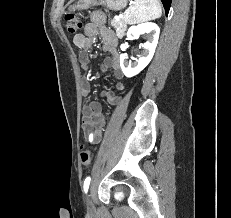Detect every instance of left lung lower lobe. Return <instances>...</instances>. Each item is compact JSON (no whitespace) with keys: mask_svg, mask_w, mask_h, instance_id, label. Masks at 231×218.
<instances>
[{"mask_svg":"<svg viewBox=\"0 0 231 218\" xmlns=\"http://www.w3.org/2000/svg\"><path fill=\"white\" fill-rule=\"evenodd\" d=\"M161 1L163 3L164 8H165L166 14H168L172 0H161Z\"/></svg>","mask_w":231,"mask_h":218,"instance_id":"left-lung-lower-lobe-1","label":"left lung lower lobe"}]
</instances>
